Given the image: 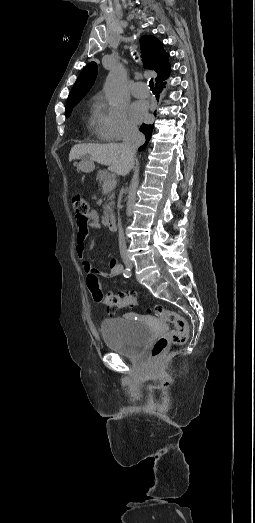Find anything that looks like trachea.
Listing matches in <instances>:
<instances>
[{
  "mask_svg": "<svg viewBox=\"0 0 255 523\" xmlns=\"http://www.w3.org/2000/svg\"><path fill=\"white\" fill-rule=\"evenodd\" d=\"M149 87H150V90L155 91L154 82L152 79L149 81Z\"/></svg>",
  "mask_w": 255,
  "mask_h": 523,
  "instance_id": "1",
  "label": "trachea"
}]
</instances>
